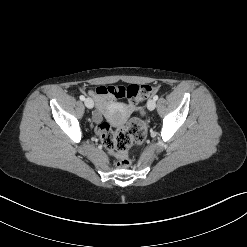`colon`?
I'll list each match as a JSON object with an SVG mask.
<instances>
[{
    "label": "colon",
    "mask_w": 247,
    "mask_h": 247,
    "mask_svg": "<svg viewBox=\"0 0 247 247\" xmlns=\"http://www.w3.org/2000/svg\"><path fill=\"white\" fill-rule=\"evenodd\" d=\"M158 86L136 85L108 86L107 91L115 97H126L128 105L134 108L137 103L145 100L158 91ZM103 146L117 158V166L127 168L131 164L129 150L134 143L142 142L147 134L144 122L137 118L131 119L124 128L114 130L108 123H102L98 127Z\"/></svg>",
    "instance_id": "obj_1"
}]
</instances>
